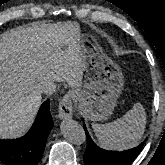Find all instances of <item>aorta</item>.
Listing matches in <instances>:
<instances>
[{"label":"aorta","mask_w":165,"mask_h":165,"mask_svg":"<svg viewBox=\"0 0 165 165\" xmlns=\"http://www.w3.org/2000/svg\"><path fill=\"white\" fill-rule=\"evenodd\" d=\"M61 134L72 144L80 145L86 141L84 129L74 120L65 121L61 124Z\"/></svg>","instance_id":"1"}]
</instances>
